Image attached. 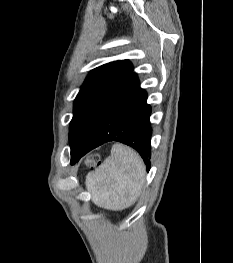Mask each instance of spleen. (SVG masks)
Returning a JSON list of instances; mask_svg holds the SVG:
<instances>
[{
  "instance_id": "spleen-1",
  "label": "spleen",
  "mask_w": 233,
  "mask_h": 263,
  "mask_svg": "<svg viewBox=\"0 0 233 263\" xmlns=\"http://www.w3.org/2000/svg\"><path fill=\"white\" fill-rule=\"evenodd\" d=\"M145 182V166L131 148L114 144L111 156L86 176L85 185L94 204L108 210L132 206Z\"/></svg>"
}]
</instances>
